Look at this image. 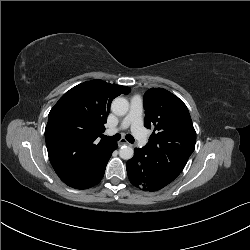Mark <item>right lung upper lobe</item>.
Masks as SVG:
<instances>
[{
	"mask_svg": "<svg viewBox=\"0 0 250 250\" xmlns=\"http://www.w3.org/2000/svg\"><path fill=\"white\" fill-rule=\"evenodd\" d=\"M129 87L91 80L67 91L51 109L45 129L49 160L70 187L92 186L112 142L100 140L111 101Z\"/></svg>",
	"mask_w": 250,
	"mask_h": 250,
	"instance_id": "1",
	"label": "right lung upper lobe"
}]
</instances>
